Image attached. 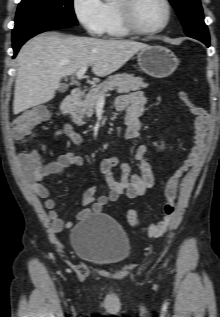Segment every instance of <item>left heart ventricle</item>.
Here are the masks:
<instances>
[{"label":"left heart ventricle","mask_w":220,"mask_h":317,"mask_svg":"<svg viewBox=\"0 0 220 317\" xmlns=\"http://www.w3.org/2000/svg\"><path fill=\"white\" fill-rule=\"evenodd\" d=\"M134 17L142 29H155L163 24L166 8L162 0H138Z\"/></svg>","instance_id":"left-heart-ventricle-1"}]
</instances>
